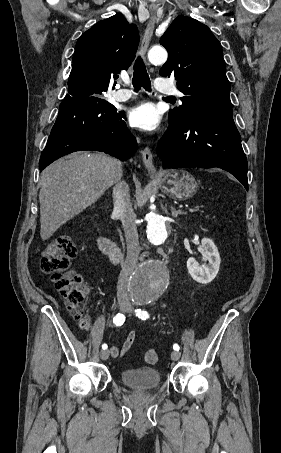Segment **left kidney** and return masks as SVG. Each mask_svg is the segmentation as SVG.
<instances>
[{"label":"left kidney","instance_id":"left-kidney-1","mask_svg":"<svg viewBox=\"0 0 281 453\" xmlns=\"http://www.w3.org/2000/svg\"><path fill=\"white\" fill-rule=\"evenodd\" d=\"M201 243L205 255H208V265L199 267L196 259L190 257L187 261V269L194 281L202 283V285H207V283H211L215 279L221 261L218 249L211 239H202Z\"/></svg>","mask_w":281,"mask_h":453}]
</instances>
